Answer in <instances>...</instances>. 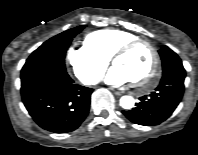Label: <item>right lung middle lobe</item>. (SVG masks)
<instances>
[{"label":"right lung middle lobe","mask_w":198,"mask_h":155,"mask_svg":"<svg viewBox=\"0 0 198 155\" xmlns=\"http://www.w3.org/2000/svg\"><path fill=\"white\" fill-rule=\"evenodd\" d=\"M85 25L78 26L67 31H64L36 49L26 60L29 62H48L65 67V54L72 39L82 31Z\"/></svg>","instance_id":"1"}]
</instances>
